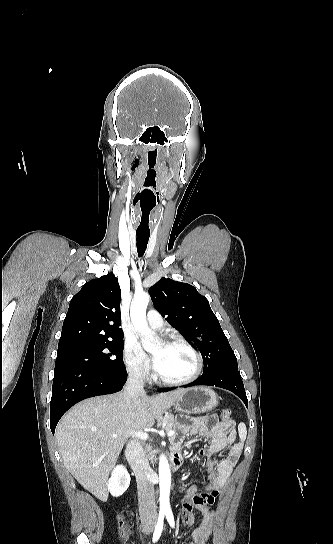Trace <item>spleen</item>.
<instances>
[{
  "label": "spleen",
  "instance_id": "1",
  "mask_svg": "<svg viewBox=\"0 0 333 544\" xmlns=\"http://www.w3.org/2000/svg\"><path fill=\"white\" fill-rule=\"evenodd\" d=\"M238 432H239L240 438L244 440L247 435V429H246V425L243 422H241L238 425Z\"/></svg>",
  "mask_w": 333,
  "mask_h": 544
}]
</instances>
